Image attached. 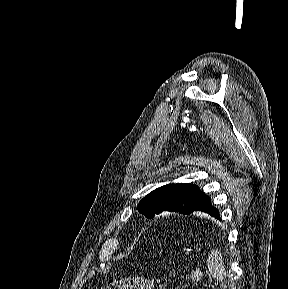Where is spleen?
I'll use <instances>...</instances> for the list:
<instances>
[{
  "label": "spleen",
  "mask_w": 288,
  "mask_h": 289,
  "mask_svg": "<svg viewBox=\"0 0 288 289\" xmlns=\"http://www.w3.org/2000/svg\"><path fill=\"white\" fill-rule=\"evenodd\" d=\"M207 267L215 280L223 281L226 276V269L222 255L218 250H212L207 259Z\"/></svg>",
  "instance_id": "1"
}]
</instances>
